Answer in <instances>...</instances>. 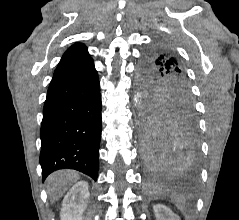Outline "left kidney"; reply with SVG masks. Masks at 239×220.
<instances>
[{
	"label": "left kidney",
	"instance_id": "1",
	"mask_svg": "<svg viewBox=\"0 0 239 220\" xmlns=\"http://www.w3.org/2000/svg\"><path fill=\"white\" fill-rule=\"evenodd\" d=\"M156 220H180L168 207L156 204L153 206Z\"/></svg>",
	"mask_w": 239,
	"mask_h": 220
}]
</instances>
